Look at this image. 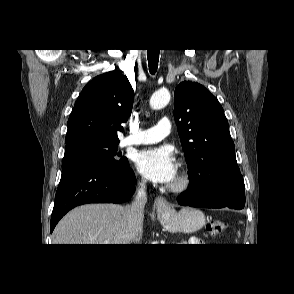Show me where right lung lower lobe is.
Here are the masks:
<instances>
[{
    "label": "right lung lower lobe",
    "mask_w": 294,
    "mask_h": 294,
    "mask_svg": "<svg viewBox=\"0 0 294 294\" xmlns=\"http://www.w3.org/2000/svg\"><path fill=\"white\" fill-rule=\"evenodd\" d=\"M135 175L123 168L85 164L62 171L51 215V232L72 208L86 203H121L134 193Z\"/></svg>",
    "instance_id": "98d812e1"
}]
</instances>
